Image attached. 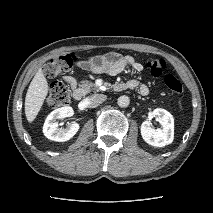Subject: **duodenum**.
Instances as JSON below:
<instances>
[{
  "label": "duodenum",
  "instance_id": "410a0bca",
  "mask_svg": "<svg viewBox=\"0 0 213 213\" xmlns=\"http://www.w3.org/2000/svg\"><path fill=\"white\" fill-rule=\"evenodd\" d=\"M115 88H116V90L121 91V90H126V89H128L129 87H128V85H126V84L119 83V84H117V85L115 86ZM73 96H74V99H75V100L81 101L82 98H83V92H82V90H80V89H75L74 92H73Z\"/></svg>",
  "mask_w": 213,
  "mask_h": 213
}]
</instances>
